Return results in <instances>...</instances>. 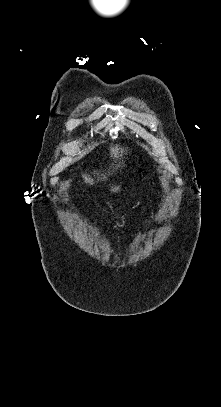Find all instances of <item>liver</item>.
Listing matches in <instances>:
<instances>
[{"instance_id": "obj_1", "label": "liver", "mask_w": 221, "mask_h": 407, "mask_svg": "<svg viewBox=\"0 0 221 407\" xmlns=\"http://www.w3.org/2000/svg\"><path fill=\"white\" fill-rule=\"evenodd\" d=\"M124 154L125 155L127 154V148L120 147L119 145H115V146L110 147V155L116 161L119 160V159L120 160L123 159ZM122 163H123V161H122ZM120 165H121V163L117 164L116 169H118L120 167ZM95 173L97 174V181H99V180H103V181L107 180L106 175H104V174L99 175V173H97V172H95ZM109 174H110V172H109ZM82 178H83V180H84V182L86 184L93 185L95 183V180L90 175L82 174Z\"/></svg>"}]
</instances>
